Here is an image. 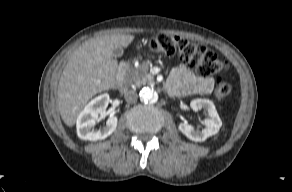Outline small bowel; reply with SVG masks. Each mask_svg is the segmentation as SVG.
<instances>
[{
	"instance_id": "c3829d8e",
	"label": "small bowel",
	"mask_w": 292,
	"mask_h": 192,
	"mask_svg": "<svg viewBox=\"0 0 292 192\" xmlns=\"http://www.w3.org/2000/svg\"><path fill=\"white\" fill-rule=\"evenodd\" d=\"M213 84V78L198 76L186 66L180 65L172 70L166 89L173 96L206 94L211 92Z\"/></svg>"
}]
</instances>
